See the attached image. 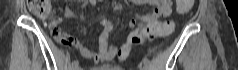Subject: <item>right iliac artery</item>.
Masks as SVG:
<instances>
[{"mask_svg":"<svg viewBox=\"0 0 238 70\" xmlns=\"http://www.w3.org/2000/svg\"><path fill=\"white\" fill-rule=\"evenodd\" d=\"M78 65H79V62H78L77 60H75V61L72 62V67H73V68L78 67Z\"/></svg>","mask_w":238,"mask_h":70,"instance_id":"right-iliac-artery-1","label":"right iliac artery"}]
</instances>
